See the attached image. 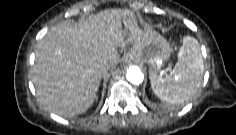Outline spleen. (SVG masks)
<instances>
[{"label":"spleen","mask_w":236,"mask_h":135,"mask_svg":"<svg viewBox=\"0 0 236 135\" xmlns=\"http://www.w3.org/2000/svg\"><path fill=\"white\" fill-rule=\"evenodd\" d=\"M203 72L200 45L195 38L185 36L175 67L169 74L160 73L150 77L151 87L161 100L170 104L183 103L197 92Z\"/></svg>","instance_id":"1"}]
</instances>
